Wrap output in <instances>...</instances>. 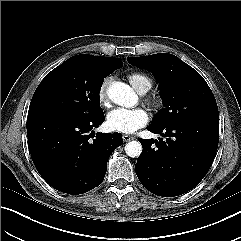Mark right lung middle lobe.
I'll return each mask as SVG.
<instances>
[{"instance_id": "dd1d6c3e", "label": "right lung middle lobe", "mask_w": 241, "mask_h": 241, "mask_svg": "<svg viewBox=\"0 0 241 241\" xmlns=\"http://www.w3.org/2000/svg\"><path fill=\"white\" fill-rule=\"evenodd\" d=\"M112 72L86 68L69 58L41 81L32 97L28 119L46 115L90 119L102 114L99 92L104 78Z\"/></svg>"}]
</instances>
